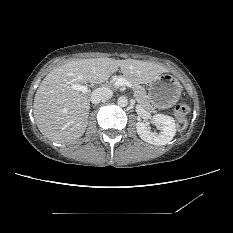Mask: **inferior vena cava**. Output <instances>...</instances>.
Listing matches in <instances>:
<instances>
[{
  "label": "inferior vena cava",
  "instance_id": "602c4592",
  "mask_svg": "<svg viewBox=\"0 0 233 233\" xmlns=\"http://www.w3.org/2000/svg\"><path fill=\"white\" fill-rule=\"evenodd\" d=\"M113 96L112 90L106 87L97 88L91 93L90 101L93 104H98L102 100L110 99Z\"/></svg>",
  "mask_w": 233,
  "mask_h": 233
}]
</instances>
